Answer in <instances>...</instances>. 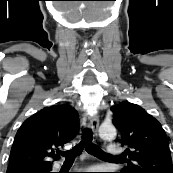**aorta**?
Here are the masks:
<instances>
[{"instance_id": "1", "label": "aorta", "mask_w": 173, "mask_h": 173, "mask_svg": "<svg viewBox=\"0 0 173 173\" xmlns=\"http://www.w3.org/2000/svg\"><path fill=\"white\" fill-rule=\"evenodd\" d=\"M99 135L103 139L112 140L116 137V129L111 123H103L99 128Z\"/></svg>"}]
</instances>
